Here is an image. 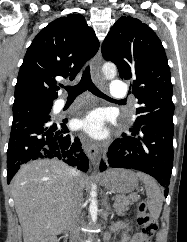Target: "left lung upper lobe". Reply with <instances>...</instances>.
<instances>
[{
  "instance_id": "1",
  "label": "left lung upper lobe",
  "mask_w": 187,
  "mask_h": 242,
  "mask_svg": "<svg viewBox=\"0 0 187 242\" xmlns=\"http://www.w3.org/2000/svg\"><path fill=\"white\" fill-rule=\"evenodd\" d=\"M102 55L117 65L122 79H133L132 93L140 107L132 128L146 124L173 127L170 68L154 31L136 18L121 17L105 38Z\"/></svg>"
}]
</instances>
